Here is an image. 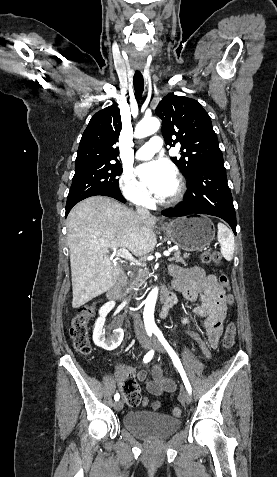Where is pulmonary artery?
I'll list each match as a JSON object with an SVG mask.
<instances>
[{
  "label": "pulmonary artery",
  "instance_id": "1",
  "mask_svg": "<svg viewBox=\"0 0 277 477\" xmlns=\"http://www.w3.org/2000/svg\"><path fill=\"white\" fill-rule=\"evenodd\" d=\"M162 145V138L160 136L154 135L146 144L137 150L136 157L141 160L149 159L162 148Z\"/></svg>",
  "mask_w": 277,
  "mask_h": 477
}]
</instances>
